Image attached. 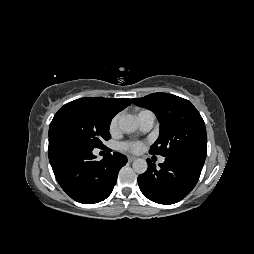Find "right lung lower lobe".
I'll return each mask as SVG.
<instances>
[{"label":"right lung lower lobe","mask_w":254,"mask_h":254,"mask_svg":"<svg viewBox=\"0 0 254 254\" xmlns=\"http://www.w3.org/2000/svg\"><path fill=\"white\" fill-rule=\"evenodd\" d=\"M94 148L64 138H50L48 155L56 180L72 199L83 204L105 200L117 182L119 170L127 163L120 153L107 154L100 161Z\"/></svg>","instance_id":"obj_1"}]
</instances>
